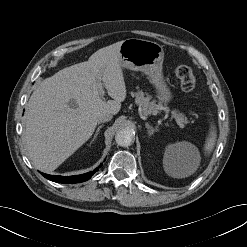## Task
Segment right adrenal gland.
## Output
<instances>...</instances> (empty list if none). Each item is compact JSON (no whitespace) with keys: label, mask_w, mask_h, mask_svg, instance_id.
<instances>
[{"label":"right adrenal gland","mask_w":247,"mask_h":247,"mask_svg":"<svg viewBox=\"0 0 247 247\" xmlns=\"http://www.w3.org/2000/svg\"><path fill=\"white\" fill-rule=\"evenodd\" d=\"M102 127H103V125L98 126V128H97V130H96V132H95V134H94V136H93V138L91 140V143H93L94 140L97 138V136H98V134H99V132H100Z\"/></svg>","instance_id":"right-adrenal-gland-1"}]
</instances>
